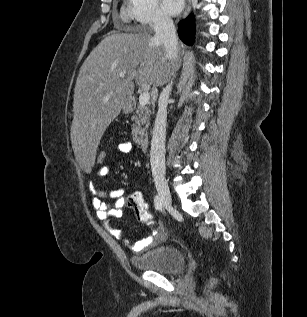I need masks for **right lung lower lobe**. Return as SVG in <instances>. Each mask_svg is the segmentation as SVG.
<instances>
[{
  "label": "right lung lower lobe",
  "mask_w": 307,
  "mask_h": 317,
  "mask_svg": "<svg viewBox=\"0 0 307 317\" xmlns=\"http://www.w3.org/2000/svg\"><path fill=\"white\" fill-rule=\"evenodd\" d=\"M194 29V18L192 15H189L185 20L179 23L178 34L185 44L192 45L195 33Z\"/></svg>",
  "instance_id": "1"
}]
</instances>
